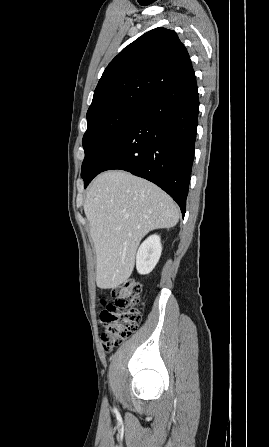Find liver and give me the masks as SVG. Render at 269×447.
<instances>
[{"label": "liver", "mask_w": 269, "mask_h": 447, "mask_svg": "<svg viewBox=\"0 0 269 447\" xmlns=\"http://www.w3.org/2000/svg\"><path fill=\"white\" fill-rule=\"evenodd\" d=\"M96 251V283L118 287L130 277L137 247L158 227H173L179 210L155 184L128 172H104L91 184L84 202Z\"/></svg>", "instance_id": "1"}]
</instances>
